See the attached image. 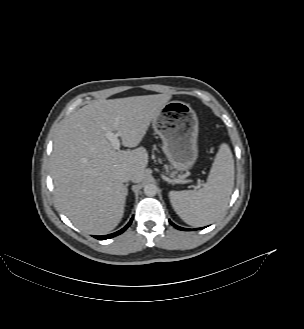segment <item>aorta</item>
<instances>
[{"label":"aorta","instance_id":"aorta-1","mask_svg":"<svg viewBox=\"0 0 304 329\" xmlns=\"http://www.w3.org/2000/svg\"><path fill=\"white\" fill-rule=\"evenodd\" d=\"M158 188L155 184L149 183L144 186V194L148 197H153L157 194Z\"/></svg>","mask_w":304,"mask_h":329}]
</instances>
